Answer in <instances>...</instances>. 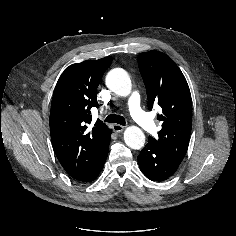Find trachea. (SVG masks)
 Listing matches in <instances>:
<instances>
[{
    "mask_svg": "<svg viewBox=\"0 0 236 236\" xmlns=\"http://www.w3.org/2000/svg\"><path fill=\"white\" fill-rule=\"evenodd\" d=\"M105 122L108 123H117L120 125L125 126L126 121L125 118L123 116L117 115V114H110L105 118Z\"/></svg>",
    "mask_w": 236,
    "mask_h": 236,
    "instance_id": "obj_1",
    "label": "trachea"
}]
</instances>
